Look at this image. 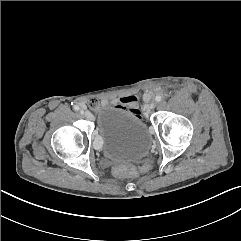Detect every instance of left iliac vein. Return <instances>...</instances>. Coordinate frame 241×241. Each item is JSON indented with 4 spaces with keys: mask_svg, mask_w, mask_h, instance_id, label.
Listing matches in <instances>:
<instances>
[{
    "mask_svg": "<svg viewBox=\"0 0 241 241\" xmlns=\"http://www.w3.org/2000/svg\"><path fill=\"white\" fill-rule=\"evenodd\" d=\"M156 106V103L155 102H151L149 105H146V110L149 111L151 109H154Z\"/></svg>",
    "mask_w": 241,
    "mask_h": 241,
    "instance_id": "obj_1",
    "label": "left iliac vein"
}]
</instances>
